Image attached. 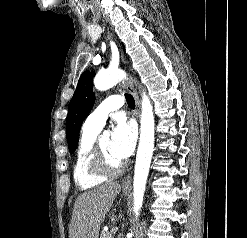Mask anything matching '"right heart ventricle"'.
Returning a JSON list of instances; mask_svg holds the SVG:
<instances>
[{"label":"right heart ventricle","instance_id":"1","mask_svg":"<svg viewBox=\"0 0 247 238\" xmlns=\"http://www.w3.org/2000/svg\"><path fill=\"white\" fill-rule=\"evenodd\" d=\"M99 131L83 126L79 146L73 166V178L76 186L82 190L94 188L107 178L95 175L90 168L93 148Z\"/></svg>","mask_w":247,"mask_h":238}]
</instances>
